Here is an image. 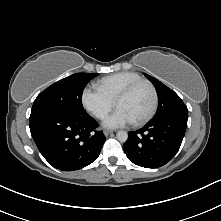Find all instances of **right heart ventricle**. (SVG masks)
<instances>
[{"label":"right heart ventricle","instance_id":"right-heart-ventricle-1","mask_svg":"<svg viewBox=\"0 0 221 221\" xmlns=\"http://www.w3.org/2000/svg\"><path fill=\"white\" fill-rule=\"evenodd\" d=\"M143 79L136 72H120L101 78L97 81V88L115 102L118 95L130 84Z\"/></svg>","mask_w":221,"mask_h":221}]
</instances>
